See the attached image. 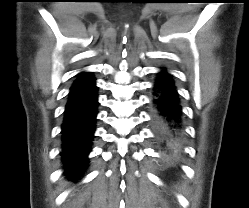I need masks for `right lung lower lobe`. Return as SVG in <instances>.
<instances>
[{
	"label": "right lung lower lobe",
	"instance_id": "98d812e1",
	"mask_svg": "<svg viewBox=\"0 0 249 208\" xmlns=\"http://www.w3.org/2000/svg\"><path fill=\"white\" fill-rule=\"evenodd\" d=\"M98 95L91 73L79 75L72 85L64 111L62 124V150L64 173L76 180L85 170L95 131Z\"/></svg>",
	"mask_w": 249,
	"mask_h": 208
}]
</instances>
